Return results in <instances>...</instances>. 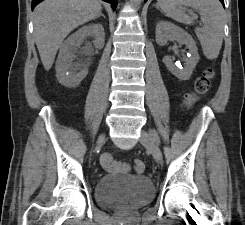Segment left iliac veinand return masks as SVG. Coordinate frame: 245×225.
<instances>
[{
	"mask_svg": "<svg viewBox=\"0 0 245 225\" xmlns=\"http://www.w3.org/2000/svg\"><path fill=\"white\" fill-rule=\"evenodd\" d=\"M140 143L144 145L152 154L155 161L160 162L162 153L159 146L156 144L153 135L146 131H141Z\"/></svg>",
	"mask_w": 245,
	"mask_h": 225,
	"instance_id": "obj_1",
	"label": "left iliac vein"
}]
</instances>
